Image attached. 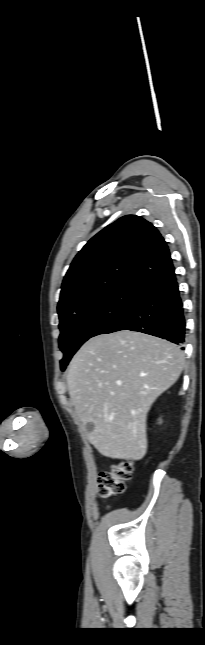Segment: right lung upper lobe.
Listing matches in <instances>:
<instances>
[{
    "instance_id": "cb5924a9",
    "label": "right lung upper lobe",
    "mask_w": 205,
    "mask_h": 645,
    "mask_svg": "<svg viewBox=\"0 0 205 645\" xmlns=\"http://www.w3.org/2000/svg\"><path fill=\"white\" fill-rule=\"evenodd\" d=\"M172 266L159 231L139 216H123L76 255L62 283L58 312L77 300L126 283L143 285Z\"/></svg>"
}]
</instances>
